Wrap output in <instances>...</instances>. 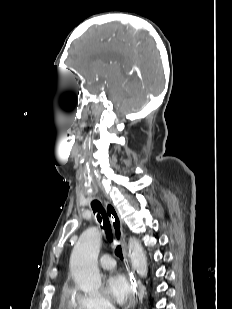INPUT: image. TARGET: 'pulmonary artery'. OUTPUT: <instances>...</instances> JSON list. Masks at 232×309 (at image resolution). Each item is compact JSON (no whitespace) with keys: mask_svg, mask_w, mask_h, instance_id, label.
<instances>
[{"mask_svg":"<svg viewBox=\"0 0 232 309\" xmlns=\"http://www.w3.org/2000/svg\"><path fill=\"white\" fill-rule=\"evenodd\" d=\"M99 265L101 268L109 270L115 266V260L110 254H105L100 258Z\"/></svg>","mask_w":232,"mask_h":309,"instance_id":"1","label":"pulmonary artery"}]
</instances>
